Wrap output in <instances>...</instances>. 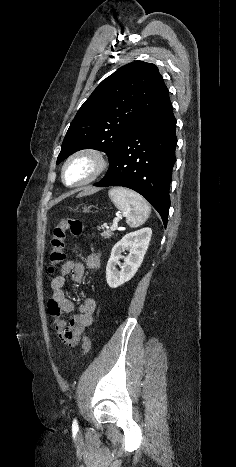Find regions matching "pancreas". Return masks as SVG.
I'll return each instance as SVG.
<instances>
[{
  "mask_svg": "<svg viewBox=\"0 0 236 467\" xmlns=\"http://www.w3.org/2000/svg\"><path fill=\"white\" fill-rule=\"evenodd\" d=\"M101 235H102V237L107 239V238H110L112 236V233L110 231H106V232H103Z\"/></svg>",
  "mask_w": 236,
  "mask_h": 467,
  "instance_id": "pancreas-1",
  "label": "pancreas"
}]
</instances>
